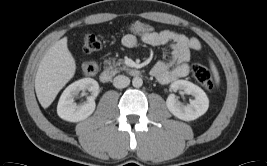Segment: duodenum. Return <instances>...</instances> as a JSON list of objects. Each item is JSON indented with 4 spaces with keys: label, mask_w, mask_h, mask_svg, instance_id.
I'll list each match as a JSON object with an SVG mask.
<instances>
[{
    "label": "duodenum",
    "mask_w": 267,
    "mask_h": 166,
    "mask_svg": "<svg viewBox=\"0 0 267 166\" xmlns=\"http://www.w3.org/2000/svg\"><path fill=\"white\" fill-rule=\"evenodd\" d=\"M126 73L133 77H139L142 75V72L138 69H128ZM113 76H114L113 71L109 69H104L100 72L99 79L102 83L107 84L112 81Z\"/></svg>",
    "instance_id": "obj_1"
}]
</instances>
